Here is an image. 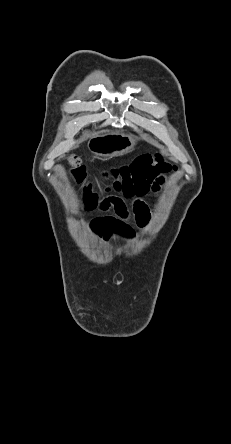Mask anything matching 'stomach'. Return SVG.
Returning a JSON list of instances; mask_svg holds the SVG:
<instances>
[{"label":"stomach","mask_w":231,"mask_h":444,"mask_svg":"<svg viewBox=\"0 0 231 444\" xmlns=\"http://www.w3.org/2000/svg\"><path fill=\"white\" fill-rule=\"evenodd\" d=\"M136 141L131 135L106 133L93 138L89 148L97 156L112 157L133 148Z\"/></svg>","instance_id":"0dacf381"}]
</instances>
